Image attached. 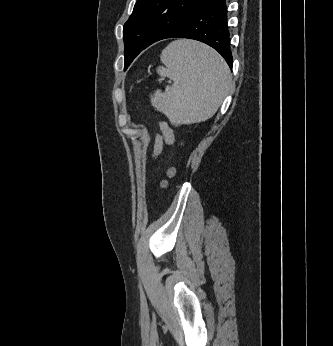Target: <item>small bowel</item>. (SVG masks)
Returning <instances> with one entry per match:
<instances>
[{
  "mask_svg": "<svg viewBox=\"0 0 333 346\" xmlns=\"http://www.w3.org/2000/svg\"><path fill=\"white\" fill-rule=\"evenodd\" d=\"M158 126L161 134L158 135L156 138L153 152L154 156H157L161 152L164 144L170 145L173 143L174 140L172 129L170 128L167 122L159 121Z\"/></svg>",
  "mask_w": 333,
  "mask_h": 346,
  "instance_id": "1",
  "label": "small bowel"
}]
</instances>
